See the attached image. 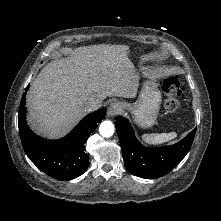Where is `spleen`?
<instances>
[{
    "label": "spleen",
    "instance_id": "obj_1",
    "mask_svg": "<svg viewBox=\"0 0 221 221\" xmlns=\"http://www.w3.org/2000/svg\"><path fill=\"white\" fill-rule=\"evenodd\" d=\"M177 136V133L171 132V133H152V134H144L142 135V139L152 145H158L162 144L164 142H167L169 140L174 139Z\"/></svg>",
    "mask_w": 221,
    "mask_h": 221
}]
</instances>
